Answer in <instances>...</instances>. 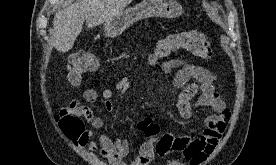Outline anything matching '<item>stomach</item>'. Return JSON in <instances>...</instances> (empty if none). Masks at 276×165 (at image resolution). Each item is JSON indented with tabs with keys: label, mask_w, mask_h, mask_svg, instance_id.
Returning a JSON list of instances; mask_svg holds the SVG:
<instances>
[{
	"label": "stomach",
	"mask_w": 276,
	"mask_h": 165,
	"mask_svg": "<svg viewBox=\"0 0 276 165\" xmlns=\"http://www.w3.org/2000/svg\"><path fill=\"white\" fill-rule=\"evenodd\" d=\"M182 6L175 0H143L138 5L122 11L105 23L108 37L120 35L126 28L141 19L149 17L176 18L182 15Z\"/></svg>",
	"instance_id": "obj_1"
}]
</instances>
